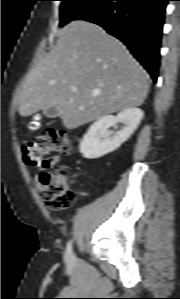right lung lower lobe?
Masks as SVG:
<instances>
[{
  "label": "right lung lower lobe",
  "mask_w": 180,
  "mask_h": 299,
  "mask_svg": "<svg viewBox=\"0 0 180 299\" xmlns=\"http://www.w3.org/2000/svg\"><path fill=\"white\" fill-rule=\"evenodd\" d=\"M167 1L102 0L75 20L98 24L120 39L156 82Z\"/></svg>",
  "instance_id": "98d812e1"
}]
</instances>
